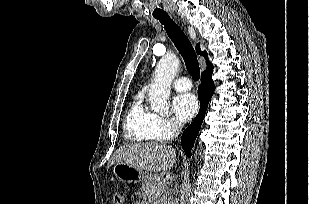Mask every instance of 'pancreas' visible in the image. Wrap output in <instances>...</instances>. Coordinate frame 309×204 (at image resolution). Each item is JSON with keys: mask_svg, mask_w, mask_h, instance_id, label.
<instances>
[{"mask_svg": "<svg viewBox=\"0 0 309 204\" xmlns=\"http://www.w3.org/2000/svg\"><path fill=\"white\" fill-rule=\"evenodd\" d=\"M165 189V181L156 173L147 175L144 180L141 191L143 196L142 204H149L158 199Z\"/></svg>", "mask_w": 309, "mask_h": 204, "instance_id": "cf45deb5", "label": "pancreas"}]
</instances>
